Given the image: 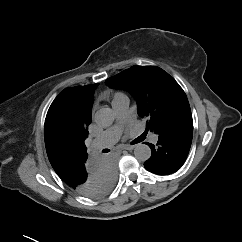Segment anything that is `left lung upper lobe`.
<instances>
[{
	"label": "left lung upper lobe",
	"instance_id": "1",
	"mask_svg": "<svg viewBox=\"0 0 242 242\" xmlns=\"http://www.w3.org/2000/svg\"><path fill=\"white\" fill-rule=\"evenodd\" d=\"M111 88L129 91L137 101L138 114L147 118V130L158 133L186 117L191 110L185 92L164 70L156 66H132L107 79Z\"/></svg>",
	"mask_w": 242,
	"mask_h": 242
}]
</instances>
